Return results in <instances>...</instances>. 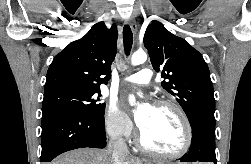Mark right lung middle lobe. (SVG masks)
I'll return each instance as SVG.
<instances>
[{"mask_svg":"<svg viewBox=\"0 0 251 164\" xmlns=\"http://www.w3.org/2000/svg\"><path fill=\"white\" fill-rule=\"evenodd\" d=\"M99 90L60 87L44 91L42 113L55 110L71 111L94 116L104 113L105 103H99Z\"/></svg>","mask_w":251,"mask_h":164,"instance_id":"obj_1","label":"right lung middle lobe"}]
</instances>
